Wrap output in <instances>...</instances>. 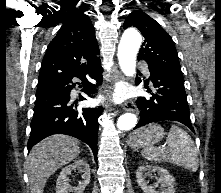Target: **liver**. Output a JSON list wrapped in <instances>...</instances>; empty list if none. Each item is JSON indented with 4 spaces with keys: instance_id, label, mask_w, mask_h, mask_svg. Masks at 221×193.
I'll return each mask as SVG.
<instances>
[{
    "instance_id": "6515ba94",
    "label": "liver",
    "mask_w": 221,
    "mask_h": 193,
    "mask_svg": "<svg viewBox=\"0 0 221 193\" xmlns=\"http://www.w3.org/2000/svg\"><path fill=\"white\" fill-rule=\"evenodd\" d=\"M79 153L78 141L63 134L49 136L36 144L26 164L31 193H43L48 178L76 159Z\"/></svg>"
}]
</instances>
